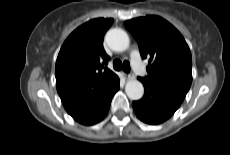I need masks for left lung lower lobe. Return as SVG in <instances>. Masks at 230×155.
I'll return each mask as SVG.
<instances>
[{
  "label": "left lung lower lobe",
  "mask_w": 230,
  "mask_h": 155,
  "mask_svg": "<svg viewBox=\"0 0 230 155\" xmlns=\"http://www.w3.org/2000/svg\"><path fill=\"white\" fill-rule=\"evenodd\" d=\"M138 79L143 83L145 93L141 100L132 103L136 116L147 124H160L169 119L182 102L144 79Z\"/></svg>",
  "instance_id": "obj_1"
}]
</instances>
